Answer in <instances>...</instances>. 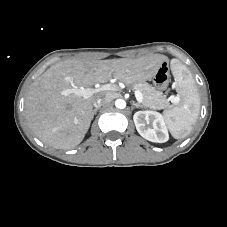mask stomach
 <instances>
[{"instance_id":"0dacf381","label":"stomach","mask_w":227,"mask_h":227,"mask_svg":"<svg viewBox=\"0 0 227 227\" xmlns=\"http://www.w3.org/2000/svg\"><path fill=\"white\" fill-rule=\"evenodd\" d=\"M168 61H164L162 66L153 76L152 81L155 89L162 91L168 87L171 71L168 70Z\"/></svg>"}]
</instances>
